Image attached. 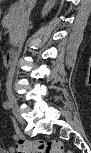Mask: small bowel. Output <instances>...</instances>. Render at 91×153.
<instances>
[{
	"label": "small bowel",
	"instance_id": "small-bowel-1",
	"mask_svg": "<svg viewBox=\"0 0 91 153\" xmlns=\"http://www.w3.org/2000/svg\"><path fill=\"white\" fill-rule=\"evenodd\" d=\"M17 138V136H15V139ZM3 152H6V153H13L14 152V148L13 147H10L8 148L7 150L5 149H1Z\"/></svg>",
	"mask_w": 91,
	"mask_h": 153
}]
</instances>
